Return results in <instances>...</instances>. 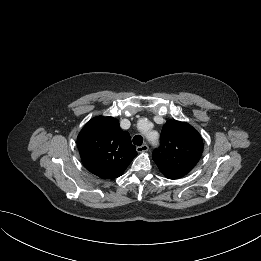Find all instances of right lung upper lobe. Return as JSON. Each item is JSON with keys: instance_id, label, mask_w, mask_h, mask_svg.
<instances>
[{"instance_id": "cb5924a9", "label": "right lung upper lobe", "mask_w": 261, "mask_h": 261, "mask_svg": "<svg viewBox=\"0 0 261 261\" xmlns=\"http://www.w3.org/2000/svg\"><path fill=\"white\" fill-rule=\"evenodd\" d=\"M77 146L85 168L102 179L121 176L137 155L129 133L113 117L91 119L79 133Z\"/></svg>"}]
</instances>
